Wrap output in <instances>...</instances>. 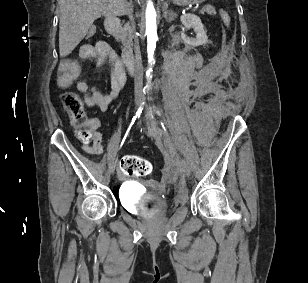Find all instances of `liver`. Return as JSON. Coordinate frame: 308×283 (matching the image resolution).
I'll return each mask as SVG.
<instances>
[{
	"mask_svg": "<svg viewBox=\"0 0 308 283\" xmlns=\"http://www.w3.org/2000/svg\"><path fill=\"white\" fill-rule=\"evenodd\" d=\"M126 4V0H60V56L75 49L96 19L122 14Z\"/></svg>",
	"mask_w": 308,
	"mask_h": 283,
	"instance_id": "liver-1",
	"label": "liver"
}]
</instances>
